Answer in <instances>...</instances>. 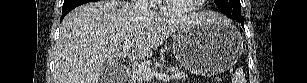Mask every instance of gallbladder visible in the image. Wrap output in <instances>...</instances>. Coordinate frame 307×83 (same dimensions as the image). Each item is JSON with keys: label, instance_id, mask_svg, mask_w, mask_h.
Segmentation results:
<instances>
[{"label": "gallbladder", "instance_id": "bac80fb5", "mask_svg": "<svg viewBox=\"0 0 307 83\" xmlns=\"http://www.w3.org/2000/svg\"><path fill=\"white\" fill-rule=\"evenodd\" d=\"M102 78V82L103 83H110V82H113V81H110V79H113L114 78V73L112 71L109 72V70H104L100 76Z\"/></svg>", "mask_w": 307, "mask_h": 83}]
</instances>
